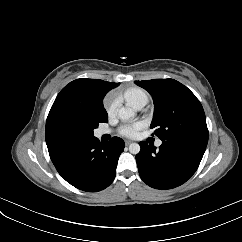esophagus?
I'll return each mask as SVG.
<instances>
[{"label": "esophagus", "mask_w": 242, "mask_h": 242, "mask_svg": "<svg viewBox=\"0 0 242 242\" xmlns=\"http://www.w3.org/2000/svg\"><path fill=\"white\" fill-rule=\"evenodd\" d=\"M132 142L130 140H125V145L128 146L130 145Z\"/></svg>", "instance_id": "obj_1"}]
</instances>
